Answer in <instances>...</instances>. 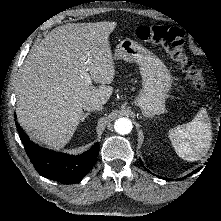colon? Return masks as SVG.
<instances>
[{"label":"colon","mask_w":221,"mask_h":221,"mask_svg":"<svg viewBox=\"0 0 221 221\" xmlns=\"http://www.w3.org/2000/svg\"><path fill=\"white\" fill-rule=\"evenodd\" d=\"M136 37L142 41L158 44L179 65L191 86L196 91H202L205 80L201 68L190 57L178 28L168 25H141L134 31Z\"/></svg>","instance_id":"5ec220e1"}]
</instances>
